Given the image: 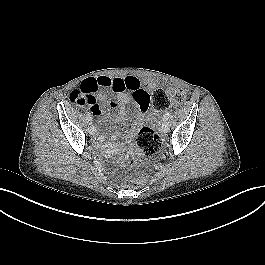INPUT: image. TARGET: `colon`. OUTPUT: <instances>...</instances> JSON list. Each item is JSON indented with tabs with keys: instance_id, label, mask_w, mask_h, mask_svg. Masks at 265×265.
Here are the masks:
<instances>
[{
	"instance_id": "obj_1",
	"label": "colon",
	"mask_w": 265,
	"mask_h": 265,
	"mask_svg": "<svg viewBox=\"0 0 265 265\" xmlns=\"http://www.w3.org/2000/svg\"><path fill=\"white\" fill-rule=\"evenodd\" d=\"M184 94L179 89L174 88H158L151 96L152 105L155 110L163 111L169 108L171 101L182 100ZM72 104L80 105L77 94L69 95ZM155 121V120H154ZM136 146L144 155L154 154L161 148V139L158 133L149 126H145L139 130L136 135ZM129 173L124 180L125 186L137 187L146 181V174L141 170L142 157L138 154H132L128 158Z\"/></svg>"
}]
</instances>
